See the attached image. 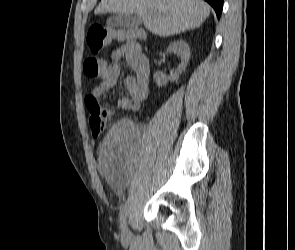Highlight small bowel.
Wrapping results in <instances>:
<instances>
[{
    "label": "small bowel",
    "instance_id": "c3829d8e",
    "mask_svg": "<svg viewBox=\"0 0 295 250\" xmlns=\"http://www.w3.org/2000/svg\"><path fill=\"white\" fill-rule=\"evenodd\" d=\"M109 58V64L103 63L100 81L93 87L90 96L99 103L102 102L118 81L119 63L126 60L133 71V74L128 75L124 81L130 97L120 98L118 106L124 110L137 111L149 89L150 69L147 58L139 44L127 43L114 48ZM137 149L138 134L128 121L117 122L104 138L99 152L100 170L115 190H122L131 177Z\"/></svg>",
    "mask_w": 295,
    "mask_h": 250
}]
</instances>
